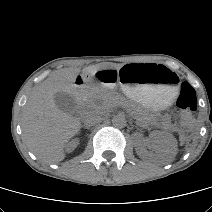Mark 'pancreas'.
Here are the masks:
<instances>
[{
  "label": "pancreas",
  "instance_id": "pancreas-1",
  "mask_svg": "<svg viewBox=\"0 0 212 212\" xmlns=\"http://www.w3.org/2000/svg\"><path fill=\"white\" fill-rule=\"evenodd\" d=\"M96 99H102V109L104 110H111L113 107L120 105L130 110L138 123L153 122V116L147 110L111 92H104L101 94L89 93L86 105L92 106Z\"/></svg>",
  "mask_w": 212,
  "mask_h": 212
}]
</instances>
